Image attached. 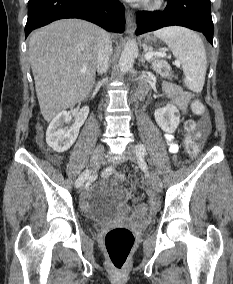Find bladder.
Returning <instances> with one entry per match:
<instances>
[{"instance_id": "obj_1", "label": "bladder", "mask_w": 233, "mask_h": 284, "mask_svg": "<svg viewBox=\"0 0 233 284\" xmlns=\"http://www.w3.org/2000/svg\"><path fill=\"white\" fill-rule=\"evenodd\" d=\"M128 195L127 190L116 182L104 181L93 186L85 193V200L101 207L113 206L122 202ZM92 228H94L92 226Z\"/></svg>"}]
</instances>
